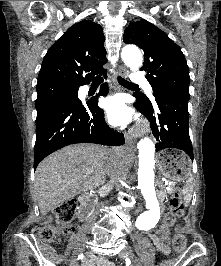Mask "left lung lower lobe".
<instances>
[{"mask_svg":"<svg viewBox=\"0 0 221 266\" xmlns=\"http://www.w3.org/2000/svg\"><path fill=\"white\" fill-rule=\"evenodd\" d=\"M134 106L151 123L157 139L156 151L179 149L193 160V149L189 136L188 100L166 94H156L152 104L143 101L136 94Z\"/></svg>","mask_w":221,"mask_h":266,"instance_id":"0a47b994","label":"left lung lower lobe"}]
</instances>
